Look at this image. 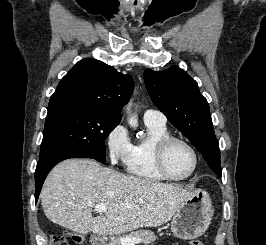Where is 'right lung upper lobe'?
<instances>
[{"instance_id": "right-lung-upper-lobe-1", "label": "right lung upper lobe", "mask_w": 266, "mask_h": 245, "mask_svg": "<svg viewBox=\"0 0 266 245\" xmlns=\"http://www.w3.org/2000/svg\"><path fill=\"white\" fill-rule=\"evenodd\" d=\"M134 81L112 66L94 59L79 61L60 81L51 96L47 116L59 112L89 109L110 116L120 112L129 100Z\"/></svg>"}]
</instances>
